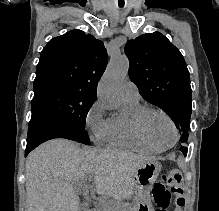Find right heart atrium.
<instances>
[{"instance_id":"1","label":"right heart atrium","mask_w":219,"mask_h":211,"mask_svg":"<svg viewBox=\"0 0 219 211\" xmlns=\"http://www.w3.org/2000/svg\"><path fill=\"white\" fill-rule=\"evenodd\" d=\"M85 125L95 144L101 145L109 139L111 117L107 115L106 107L100 100L92 103L85 116Z\"/></svg>"}]
</instances>
